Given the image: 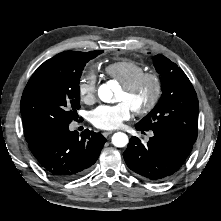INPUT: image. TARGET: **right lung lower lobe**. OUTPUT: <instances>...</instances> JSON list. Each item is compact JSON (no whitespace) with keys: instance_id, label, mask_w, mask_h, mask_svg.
<instances>
[{"instance_id":"right-lung-lower-lobe-1","label":"right lung lower lobe","mask_w":221,"mask_h":221,"mask_svg":"<svg viewBox=\"0 0 221 221\" xmlns=\"http://www.w3.org/2000/svg\"><path fill=\"white\" fill-rule=\"evenodd\" d=\"M105 137L86 129L81 134L69 131V124L52 128L28 142L39 165L59 180L84 174L98 159Z\"/></svg>"}]
</instances>
